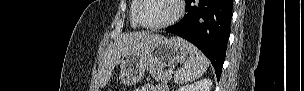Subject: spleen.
I'll return each mask as SVG.
<instances>
[{
    "mask_svg": "<svg viewBox=\"0 0 304 91\" xmlns=\"http://www.w3.org/2000/svg\"><path fill=\"white\" fill-rule=\"evenodd\" d=\"M182 43L189 52V58L174 74V81L177 84L188 83L200 78L209 66L208 59L198 48L185 40H182Z\"/></svg>",
    "mask_w": 304,
    "mask_h": 91,
    "instance_id": "3e777b00",
    "label": "spleen"
}]
</instances>
